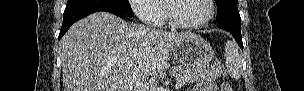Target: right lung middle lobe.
I'll list each match as a JSON object with an SVG mask.
<instances>
[{"label": "right lung middle lobe", "mask_w": 304, "mask_h": 91, "mask_svg": "<svg viewBox=\"0 0 304 91\" xmlns=\"http://www.w3.org/2000/svg\"><path fill=\"white\" fill-rule=\"evenodd\" d=\"M114 5L121 9L127 16L132 17L133 11L129 5L128 0H113Z\"/></svg>", "instance_id": "dd1d6c3e"}]
</instances>
